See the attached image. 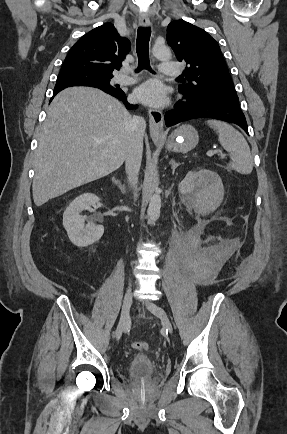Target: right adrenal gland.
I'll return each instance as SVG.
<instances>
[{
  "instance_id": "2a0ac1e0",
  "label": "right adrenal gland",
  "mask_w": 287,
  "mask_h": 434,
  "mask_svg": "<svg viewBox=\"0 0 287 434\" xmlns=\"http://www.w3.org/2000/svg\"><path fill=\"white\" fill-rule=\"evenodd\" d=\"M116 183L118 184V186L120 187L121 190L125 189V185L124 184L122 185L119 180H117Z\"/></svg>"
}]
</instances>
